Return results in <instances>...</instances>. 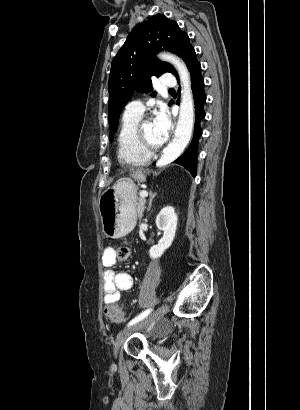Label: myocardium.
I'll return each mask as SVG.
<instances>
[{
	"label": "myocardium",
	"instance_id": "myocardium-1",
	"mask_svg": "<svg viewBox=\"0 0 300 410\" xmlns=\"http://www.w3.org/2000/svg\"><path fill=\"white\" fill-rule=\"evenodd\" d=\"M148 120L149 118H141L139 120L135 128V139L140 149L150 154L151 152L160 150L163 146V143L153 145L147 141L146 136L144 134L143 126L144 123Z\"/></svg>",
	"mask_w": 300,
	"mask_h": 410
}]
</instances>
